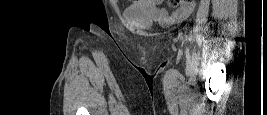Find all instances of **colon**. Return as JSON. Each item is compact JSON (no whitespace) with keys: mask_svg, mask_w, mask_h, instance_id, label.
Here are the masks:
<instances>
[{"mask_svg":"<svg viewBox=\"0 0 267 115\" xmlns=\"http://www.w3.org/2000/svg\"><path fill=\"white\" fill-rule=\"evenodd\" d=\"M192 3V0H170L169 4L171 7H177L179 5Z\"/></svg>","mask_w":267,"mask_h":115,"instance_id":"5ec220e1","label":"colon"}]
</instances>
